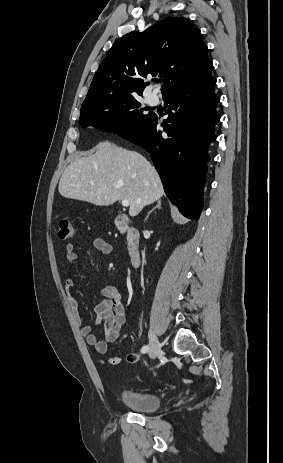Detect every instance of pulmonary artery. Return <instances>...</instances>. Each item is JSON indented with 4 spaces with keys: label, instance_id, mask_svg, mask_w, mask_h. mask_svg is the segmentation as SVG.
Instances as JSON below:
<instances>
[{
    "label": "pulmonary artery",
    "instance_id": "obj_1",
    "mask_svg": "<svg viewBox=\"0 0 283 463\" xmlns=\"http://www.w3.org/2000/svg\"><path fill=\"white\" fill-rule=\"evenodd\" d=\"M147 101L151 106H156L159 104V97L155 93H152L148 96Z\"/></svg>",
    "mask_w": 283,
    "mask_h": 463
}]
</instances>
